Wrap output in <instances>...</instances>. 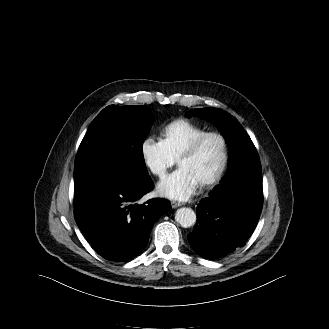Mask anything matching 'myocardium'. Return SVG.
Returning <instances> with one entry per match:
<instances>
[{
  "label": "myocardium",
  "mask_w": 329,
  "mask_h": 329,
  "mask_svg": "<svg viewBox=\"0 0 329 329\" xmlns=\"http://www.w3.org/2000/svg\"><path fill=\"white\" fill-rule=\"evenodd\" d=\"M209 137H216L220 140L222 144V159L215 173L199 183L201 186L212 185L217 181H219L224 175L229 163V155H230L229 143L226 136L219 131H206L201 135H199L198 137H196L194 140H192L189 143V145L182 151V153L179 155L177 159V163L179 164L183 159L193 156L198 151L201 144Z\"/></svg>",
  "instance_id": "obj_1"
}]
</instances>
